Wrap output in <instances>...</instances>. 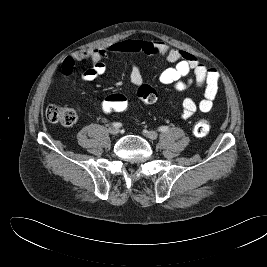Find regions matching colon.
Returning a JSON list of instances; mask_svg holds the SVG:
<instances>
[{
  "instance_id": "obj_1",
  "label": "colon",
  "mask_w": 267,
  "mask_h": 267,
  "mask_svg": "<svg viewBox=\"0 0 267 267\" xmlns=\"http://www.w3.org/2000/svg\"><path fill=\"white\" fill-rule=\"evenodd\" d=\"M138 99L144 104H152L157 99L156 91L149 85H141L137 91ZM101 109L104 113H126L133 109L134 101L123 93H112L107 95L101 101ZM46 118L51 123L60 124L63 126H71L77 120V113L74 109L51 104L46 109ZM193 134L196 137H204L210 131V123L205 118L198 119L192 128Z\"/></svg>"
}]
</instances>
